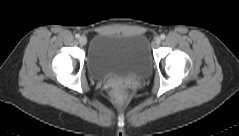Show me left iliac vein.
Instances as JSON below:
<instances>
[{
    "label": "left iliac vein",
    "mask_w": 239,
    "mask_h": 136,
    "mask_svg": "<svg viewBox=\"0 0 239 136\" xmlns=\"http://www.w3.org/2000/svg\"><path fill=\"white\" fill-rule=\"evenodd\" d=\"M160 43H161V38H160V37H156V38L154 39V45H155V46H159Z\"/></svg>",
    "instance_id": "4c4485c4"
}]
</instances>
